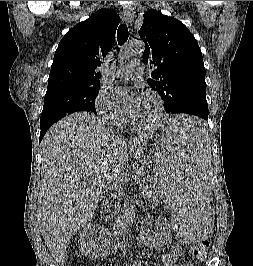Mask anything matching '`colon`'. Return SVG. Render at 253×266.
<instances>
[{
	"label": "colon",
	"instance_id": "1",
	"mask_svg": "<svg viewBox=\"0 0 253 266\" xmlns=\"http://www.w3.org/2000/svg\"><path fill=\"white\" fill-rule=\"evenodd\" d=\"M209 246V242H201V248H191L190 253L192 261L187 262L185 266H196L198 261H201L205 258Z\"/></svg>",
	"mask_w": 253,
	"mask_h": 266
}]
</instances>
